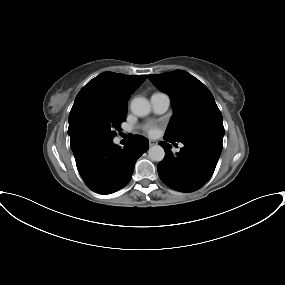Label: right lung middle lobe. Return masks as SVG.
Wrapping results in <instances>:
<instances>
[{"label": "right lung middle lobe", "mask_w": 285, "mask_h": 285, "mask_svg": "<svg viewBox=\"0 0 285 285\" xmlns=\"http://www.w3.org/2000/svg\"><path fill=\"white\" fill-rule=\"evenodd\" d=\"M127 112L88 109L79 113L73 121L71 145L89 140H113Z\"/></svg>", "instance_id": "dd1d6c3e"}]
</instances>
